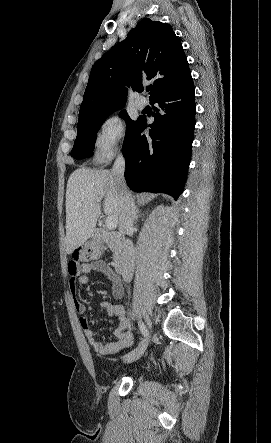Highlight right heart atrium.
I'll list each match as a JSON object with an SVG mask.
<instances>
[{
    "mask_svg": "<svg viewBox=\"0 0 271 443\" xmlns=\"http://www.w3.org/2000/svg\"><path fill=\"white\" fill-rule=\"evenodd\" d=\"M126 125L118 114L105 117L93 137L92 152L96 160L113 157L124 145Z\"/></svg>",
    "mask_w": 271,
    "mask_h": 443,
    "instance_id": "right-heart-atrium-1",
    "label": "right heart atrium"
}]
</instances>
